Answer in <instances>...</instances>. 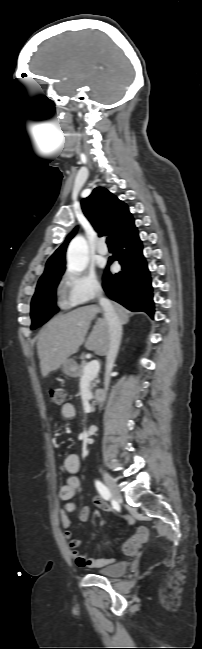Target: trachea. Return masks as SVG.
Listing matches in <instances>:
<instances>
[{"instance_id":"trachea-1","label":"trachea","mask_w":202,"mask_h":649,"mask_svg":"<svg viewBox=\"0 0 202 649\" xmlns=\"http://www.w3.org/2000/svg\"><path fill=\"white\" fill-rule=\"evenodd\" d=\"M106 242H107L108 245H113V238H112L111 236H109V237L107 238V241H106Z\"/></svg>"}]
</instances>
